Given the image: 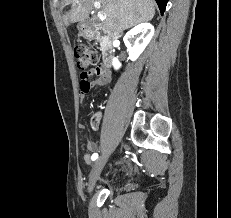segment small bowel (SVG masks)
<instances>
[{
  "label": "small bowel",
  "mask_w": 231,
  "mask_h": 218,
  "mask_svg": "<svg viewBox=\"0 0 231 218\" xmlns=\"http://www.w3.org/2000/svg\"><path fill=\"white\" fill-rule=\"evenodd\" d=\"M103 66L102 63H99L97 66H92L91 69H82L80 72V87L82 94H86L93 87H102L110 82L111 75ZM93 75L97 77L95 80H91ZM92 126L94 129L96 128V124ZM79 127L83 129L84 124H79ZM82 148L86 150L84 161L89 164L92 160V153L97 150V145L95 142L87 141L82 145Z\"/></svg>",
  "instance_id": "obj_1"
}]
</instances>
